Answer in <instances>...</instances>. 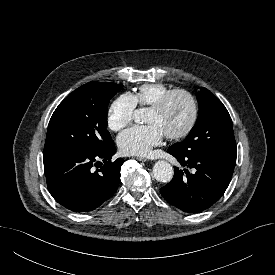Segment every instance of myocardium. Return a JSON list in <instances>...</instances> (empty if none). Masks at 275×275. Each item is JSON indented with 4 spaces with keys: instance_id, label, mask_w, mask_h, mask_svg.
Here are the masks:
<instances>
[{
    "instance_id": "f54148a6",
    "label": "myocardium",
    "mask_w": 275,
    "mask_h": 275,
    "mask_svg": "<svg viewBox=\"0 0 275 275\" xmlns=\"http://www.w3.org/2000/svg\"><path fill=\"white\" fill-rule=\"evenodd\" d=\"M176 95H182L188 99L191 108V114L188 123L182 130L174 133H168L165 135V137L169 140H180L188 136L194 129L199 114L198 103L195 96L190 91L182 88L168 91L162 97H160L154 104H152L150 106V109L156 111L163 110L168 104V102L171 100V98H173Z\"/></svg>"
}]
</instances>
